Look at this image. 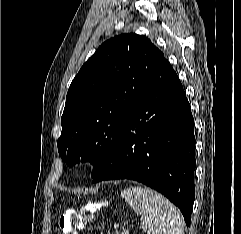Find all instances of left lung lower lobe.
I'll list each match as a JSON object with an SVG mask.
<instances>
[{"label":"left lung lower lobe","instance_id":"0a47b994","mask_svg":"<svg viewBox=\"0 0 241 234\" xmlns=\"http://www.w3.org/2000/svg\"><path fill=\"white\" fill-rule=\"evenodd\" d=\"M194 119L183 86L164 58L130 107L93 183L132 179L173 202L190 226L195 199Z\"/></svg>","mask_w":241,"mask_h":234}]
</instances>
